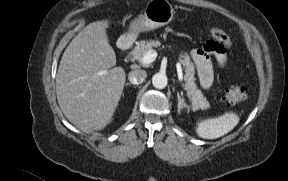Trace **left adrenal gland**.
Segmentation results:
<instances>
[{"label":"left adrenal gland","instance_id":"1","mask_svg":"<svg viewBox=\"0 0 288 181\" xmlns=\"http://www.w3.org/2000/svg\"><path fill=\"white\" fill-rule=\"evenodd\" d=\"M177 97H178V112L179 113H180V110L183 108H187V109L190 108V106L185 103V100L182 97H180L179 93H177Z\"/></svg>","mask_w":288,"mask_h":181}]
</instances>
